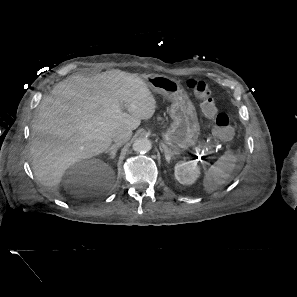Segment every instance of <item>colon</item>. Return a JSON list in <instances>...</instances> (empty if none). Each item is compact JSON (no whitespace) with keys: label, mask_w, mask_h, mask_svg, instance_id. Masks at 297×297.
I'll list each match as a JSON object with an SVG mask.
<instances>
[{"label":"colon","mask_w":297,"mask_h":297,"mask_svg":"<svg viewBox=\"0 0 297 297\" xmlns=\"http://www.w3.org/2000/svg\"><path fill=\"white\" fill-rule=\"evenodd\" d=\"M186 87L200 100L202 112L210 119L213 133L219 138L229 139L233 134L230 118L228 114L217 111L211 86L204 80L190 78L186 81Z\"/></svg>","instance_id":"1"}]
</instances>
